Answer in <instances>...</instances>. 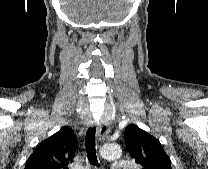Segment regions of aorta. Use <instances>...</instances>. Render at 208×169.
<instances>
[{
	"mask_svg": "<svg viewBox=\"0 0 208 169\" xmlns=\"http://www.w3.org/2000/svg\"><path fill=\"white\" fill-rule=\"evenodd\" d=\"M101 155L107 160H115L121 157L122 150L116 144H105L101 148Z\"/></svg>",
	"mask_w": 208,
	"mask_h": 169,
	"instance_id": "762f6f07",
	"label": "aorta"
}]
</instances>
